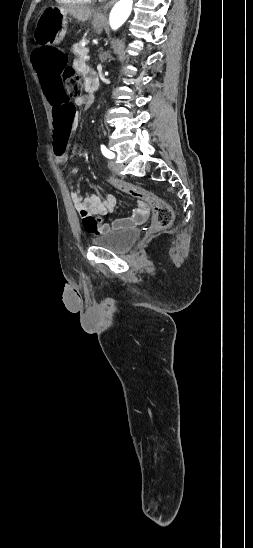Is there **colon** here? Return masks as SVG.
Wrapping results in <instances>:
<instances>
[{
    "label": "colon",
    "instance_id": "1",
    "mask_svg": "<svg viewBox=\"0 0 253 548\" xmlns=\"http://www.w3.org/2000/svg\"><path fill=\"white\" fill-rule=\"evenodd\" d=\"M33 63L40 73L43 95L47 96V104L51 105L53 120L52 148L55 156L62 158L63 149L67 147L65 141L70 133L74 132L76 119L75 107L70 97L80 96L82 79L71 68L66 67L67 56L57 47H43L33 52ZM66 81L67 93L64 89ZM110 189L116 187L123 193L139 198L148 203L154 211V225L157 229L169 228L174 220L172 207L156 194L139 186L120 182L119 176H110L106 179Z\"/></svg>",
    "mask_w": 253,
    "mask_h": 548
}]
</instances>
